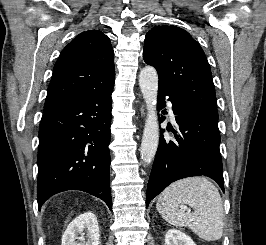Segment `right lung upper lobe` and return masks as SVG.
Returning <instances> with one entry per match:
<instances>
[{
  "mask_svg": "<svg viewBox=\"0 0 266 245\" xmlns=\"http://www.w3.org/2000/svg\"><path fill=\"white\" fill-rule=\"evenodd\" d=\"M114 52L99 30L84 31L61 52L53 69L44 112L86 92H101L114 85Z\"/></svg>",
  "mask_w": 266,
  "mask_h": 245,
  "instance_id": "cb5924a9",
  "label": "right lung upper lobe"
}]
</instances>
